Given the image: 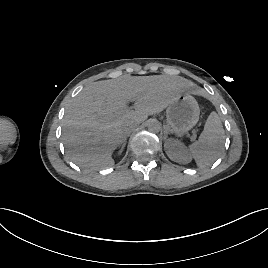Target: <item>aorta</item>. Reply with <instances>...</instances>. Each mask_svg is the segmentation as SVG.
I'll return each instance as SVG.
<instances>
[{
    "mask_svg": "<svg viewBox=\"0 0 268 268\" xmlns=\"http://www.w3.org/2000/svg\"><path fill=\"white\" fill-rule=\"evenodd\" d=\"M147 128L150 132L158 133L161 130V123L156 119H149L147 121Z\"/></svg>",
    "mask_w": 268,
    "mask_h": 268,
    "instance_id": "762f6f07",
    "label": "aorta"
}]
</instances>
